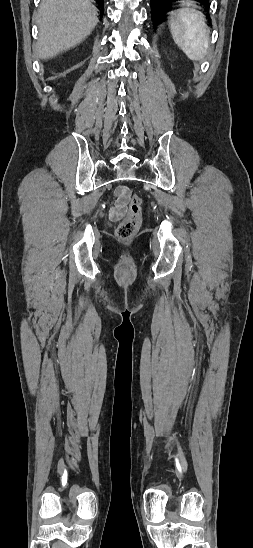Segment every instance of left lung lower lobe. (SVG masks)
Segmentation results:
<instances>
[{
    "label": "left lung lower lobe",
    "mask_w": 253,
    "mask_h": 548,
    "mask_svg": "<svg viewBox=\"0 0 253 548\" xmlns=\"http://www.w3.org/2000/svg\"><path fill=\"white\" fill-rule=\"evenodd\" d=\"M177 0H151V12L154 26L161 23V17L166 12L168 4ZM209 10V0H195Z\"/></svg>",
    "instance_id": "1"
}]
</instances>
